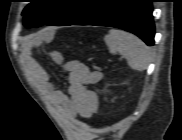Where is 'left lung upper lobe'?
<instances>
[{
	"instance_id": "left-lung-upper-lobe-1",
	"label": "left lung upper lobe",
	"mask_w": 182,
	"mask_h": 140,
	"mask_svg": "<svg viewBox=\"0 0 182 140\" xmlns=\"http://www.w3.org/2000/svg\"><path fill=\"white\" fill-rule=\"evenodd\" d=\"M102 0H31L22 12L24 24L36 28L43 25H70L97 6Z\"/></svg>"
}]
</instances>
